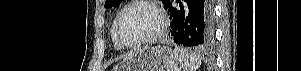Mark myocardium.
Wrapping results in <instances>:
<instances>
[{
	"label": "myocardium",
	"mask_w": 301,
	"mask_h": 71,
	"mask_svg": "<svg viewBox=\"0 0 301 71\" xmlns=\"http://www.w3.org/2000/svg\"><path fill=\"white\" fill-rule=\"evenodd\" d=\"M134 6H145L150 8L157 16L158 18V26L155 30V32L151 35H149L147 38L135 42V43H128L125 42L120 34V22L122 19V16L124 15V13L131 7ZM167 28V20H166V16L165 13L163 12V10L153 1H145V0H135V1H131L129 3H127L118 13V15L116 16V19L114 21V35L115 38L117 40V42L123 47V48H139L142 46H146L149 45L153 42H155L156 40H158L162 34L164 33V31Z\"/></svg>",
	"instance_id": "myocardium-1"
}]
</instances>
